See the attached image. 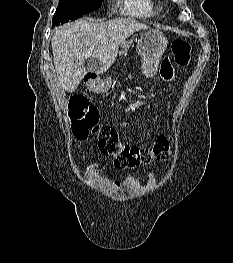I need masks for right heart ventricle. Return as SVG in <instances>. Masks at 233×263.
Returning a JSON list of instances; mask_svg holds the SVG:
<instances>
[{
    "instance_id": "1",
    "label": "right heart ventricle",
    "mask_w": 233,
    "mask_h": 263,
    "mask_svg": "<svg viewBox=\"0 0 233 263\" xmlns=\"http://www.w3.org/2000/svg\"><path fill=\"white\" fill-rule=\"evenodd\" d=\"M124 7L135 16L146 17L154 14L152 0H124Z\"/></svg>"
}]
</instances>
